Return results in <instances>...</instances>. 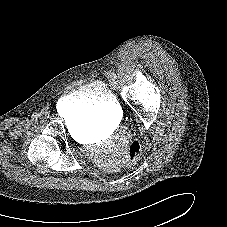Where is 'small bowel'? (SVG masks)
Wrapping results in <instances>:
<instances>
[{"mask_svg": "<svg viewBox=\"0 0 227 227\" xmlns=\"http://www.w3.org/2000/svg\"><path fill=\"white\" fill-rule=\"evenodd\" d=\"M118 151L116 150H112L110 153L104 155L101 160L100 163L104 166H112L115 161L117 160L118 157Z\"/></svg>", "mask_w": 227, "mask_h": 227, "instance_id": "obj_1", "label": "small bowel"}]
</instances>
